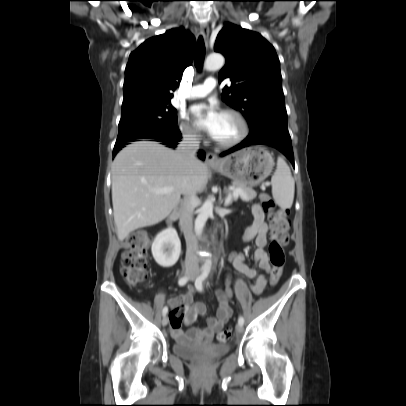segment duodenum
I'll use <instances>...</instances> for the list:
<instances>
[{"label":"duodenum","mask_w":406,"mask_h":406,"mask_svg":"<svg viewBox=\"0 0 406 406\" xmlns=\"http://www.w3.org/2000/svg\"><path fill=\"white\" fill-rule=\"evenodd\" d=\"M179 215H180L179 209L173 210L172 213L170 214V216L166 220L167 225L172 226L179 218Z\"/></svg>","instance_id":"obj_1"}]
</instances>
